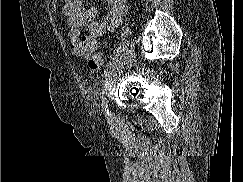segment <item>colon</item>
I'll list each match as a JSON object with an SVG mask.
<instances>
[{"instance_id":"1","label":"colon","mask_w":243,"mask_h":182,"mask_svg":"<svg viewBox=\"0 0 243 182\" xmlns=\"http://www.w3.org/2000/svg\"><path fill=\"white\" fill-rule=\"evenodd\" d=\"M103 56L101 53H95L92 55L88 61V66L91 70L97 71L102 68Z\"/></svg>"}]
</instances>
